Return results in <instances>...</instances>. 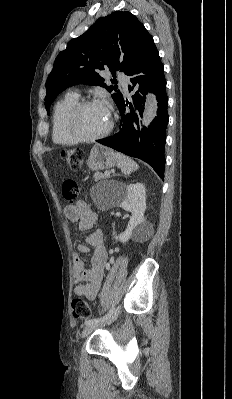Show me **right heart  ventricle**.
I'll return each mask as SVG.
<instances>
[{
  "instance_id": "right-heart-ventricle-1",
  "label": "right heart ventricle",
  "mask_w": 232,
  "mask_h": 399,
  "mask_svg": "<svg viewBox=\"0 0 232 399\" xmlns=\"http://www.w3.org/2000/svg\"><path fill=\"white\" fill-rule=\"evenodd\" d=\"M78 101L79 98L77 95L68 94L54 105L51 118V136L55 144L65 147H71L77 144L66 131L65 119L70 109Z\"/></svg>"
}]
</instances>
